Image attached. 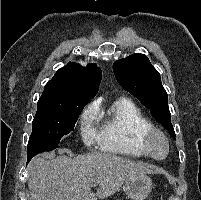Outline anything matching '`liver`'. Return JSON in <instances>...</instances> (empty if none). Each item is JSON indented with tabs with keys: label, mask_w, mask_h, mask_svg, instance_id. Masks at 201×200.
Here are the masks:
<instances>
[{
	"label": "liver",
	"mask_w": 201,
	"mask_h": 200,
	"mask_svg": "<svg viewBox=\"0 0 201 200\" xmlns=\"http://www.w3.org/2000/svg\"><path fill=\"white\" fill-rule=\"evenodd\" d=\"M142 163L107 153L91 152L70 158L54 153L29 165V200H97L113 195L129 178L152 174ZM96 181L99 188L92 191Z\"/></svg>",
	"instance_id": "obj_1"
}]
</instances>
